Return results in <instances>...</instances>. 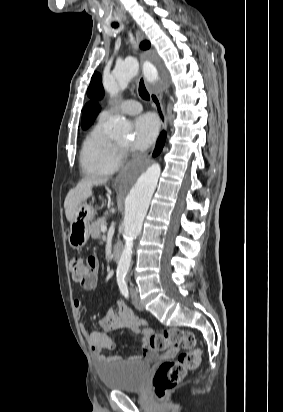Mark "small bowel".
<instances>
[{
  "label": "small bowel",
  "mask_w": 283,
  "mask_h": 412,
  "mask_svg": "<svg viewBox=\"0 0 283 412\" xmlns=\"http://www.w3.org/2000/svg\"><path fill=\"white\" fill-rule=\"evenodd\" d=\"M79 282L85 290H95L98 285L97 270ZM73 305L76 314L79 317H82V301L80 299H75ZM98 325L103 330L102 332L92 331L85 324L81 326V329L91 347L92 354L99 367L104 366L107 362L123 360V357L118 355L106 357L101 354L103 350H114L116 348V344L109 333L118 329H130L142 336V351L138 355L129 357L130 360L152 359L155 357V354L151 351L149 346V337L153 333L152 330L147 327V321L135 316L133 311L124 301L120 300L113 307L109 308L105 315L98 320ZM175 354L176 350L170 349L166 356L173 357Z\"/></svg>",
  "instance_id": "c3829d8e"
}]
</instances>
